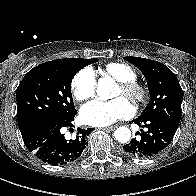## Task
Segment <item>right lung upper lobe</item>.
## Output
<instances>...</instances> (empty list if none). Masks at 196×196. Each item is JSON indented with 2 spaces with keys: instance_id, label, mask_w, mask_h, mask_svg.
I'll return each instance as SVG.
<instances>
[{
  "instance_id": "obj_1",
  "label": "right lung upper lobe",
  "mask_w": 196,
  "mask_h": 196,
  "mask_svg": "<svg viewBox=\"0 0 196 196\" xmlns=\"http://www.w3.org/2000/svg\"><path fill=\"white\" fill-rule=\"evenodd\" d=\"M67 59L75 61L81 65H84V67H85L86 65L94 63L95 58H93V59L67 58Z\"/></svg>"
}]
</instances>
